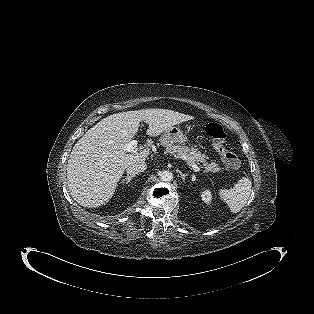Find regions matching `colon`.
<instances>
[{
    "label": "colon",
    "mask_w": 314,
    "mask_h": 314,
    "mask_svg": "<svg viewBox=\"0 0 314 314\" xmlns=\"http://www.w3.org/2000/svg\"><path fill=\"white\" fill-rule=\"evenodd\" d=\"M205 132L228 167L234 170L238 169L240 159L236 151L227 145V134L223 127L218 123H209L205 128Z\"/></svg>",
    "instance_id": "colon-1"
}]
</instances>
